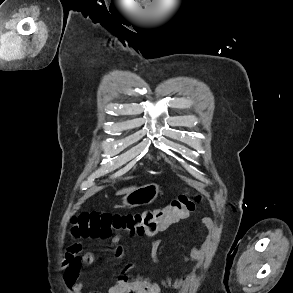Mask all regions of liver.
Returning <instances> with one entry per match:
<instances>
[{"instance_id": "liver-1", "label": "liver", "mask_w": 293, "mask_h": 293, "mask_svg": "<svg viewBox=\"0 0 293 293\" xmlns=\"http://www.w3.org/2000/svg\"><path fill=\"white\" fill-rule=\"evenodd\" d=\"M134 189H135L134 187L125 188V189H123V190L118 191V192H117V195H119V194H124V193H129V192H131V191L134 190Z\"/></svg>"}]
</instances>
